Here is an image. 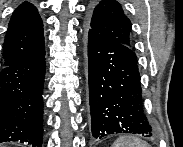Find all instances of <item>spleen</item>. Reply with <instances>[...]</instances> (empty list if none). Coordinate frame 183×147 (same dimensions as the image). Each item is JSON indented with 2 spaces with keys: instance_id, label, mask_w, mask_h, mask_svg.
I'll use <instances>...</instances> for the list:
<instances>
[{
  "instance_id": "1",
  "label": "spleen",
  "mask_w": 183,
  "mask_h": 147,
  "mask_svg": "<svg viewBox=\"0 0 183 147\" xmlns=\"http://www.w3.org/2000/svg\"><path fill=\"white\" fill-rule=\"evenodd\" d=\"M113 147H150V145L139 138L122 136L114 142Z\"/></svg>"
}]
</instances>
